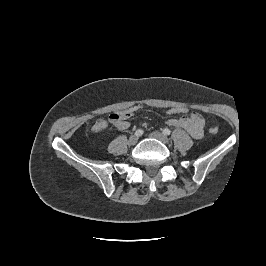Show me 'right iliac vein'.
Segmentation results:
<instances>
[{"label": "right iliac vein", "instance_id": "1", "mask_svg": "<svg viewBox=\"0 0 266 266\" xmlns=\"http://www.w3.org/2000/svg\"><path fill=\"white\" fill-rule=\"evenodd\" d=\"M137 141H138V136L133 135V136H131V137L129 138V140H128V144H129V145H135V144L137 143Z\"/></svg>", "mask_w": 266, "mask_h": 266}]
</instances>
